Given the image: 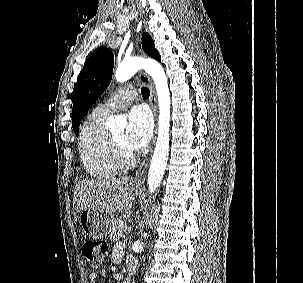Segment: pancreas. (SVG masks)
Returning a JSON list of instances; mask_svg holds the SVG:
<instances>
[{
    "label": "pancreas",
    "mask_w": 303,
    "mask_h": 283,
    "mask_svg": "<svg viewBox=\"0 0 303 283\" xmlns=\"http://www.w3.org/2000/svg\"><path fill=\"white\" fill-rule=\"evenodd\" d=\"M121 219L115 218L112 222V228L110 232V238L113 241H118L124 237V225L121 224Z\"/></svg>",
    "instance_id": "pancreas-1"
}]
</instances>
